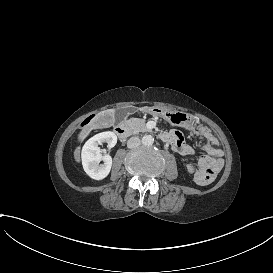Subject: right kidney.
<instances>
[{"instance_id": "ca27d5eb", "label": "right kidney", "mask_w": 273, "mask_h": 273, "mask_svg": "<svg viewBox=\"0 0 273 273\" xmlns=\"http://www.w3.org/2000/svg\"><path fill=\"white\" fill-rule=\"evenodd\" d=\"M106 142L109 148H112L117 143V136L113 132H102L91 137L82 148V165L84 171L91 178L101 180L105 178L112 166V158L110 155H102L98 147L99 144ZM103 161L104 164H99Z\"/></svg>"}]
</instances>
